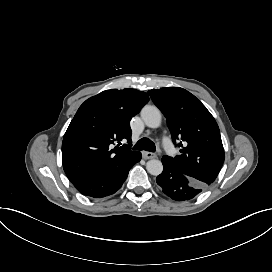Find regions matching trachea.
<instances>
[{"label": "trachea", "mask_w": 272, "mask_h": 272, "mask_svg": "<svg viewBox=\"0 0 272 272\" xmlns=\"http://www.w3.org/2000/svg\"><path fill=\"white\" fill-rule=\"evenodd\" d=\"M134 150H146L149 152H154L156 147L150 139L144 137L135 144Z\"/></svg>", "instance_id": "obj_1"}]
</instances>
